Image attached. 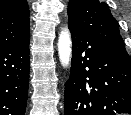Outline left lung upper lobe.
Returning <instances> with one entry per match:
<instances>
[{
  "instance_id": "left-lung-upper-lobe-1",
  "label": "left lung upper lobe",
  "mask_w": 131,
  "mask_h": 115,
  "mask_svg": "<svg viewBox=\"0 0 131 115\" xmlns=\"http://www.w3.org/2000/svg\"><path fill=\"white\" fill-rule=\"evenodd\" d=\"M68 21L99 40L114 56L131 64L108 5L99 0H69Z\"/></svg>"
}]
</instances>
